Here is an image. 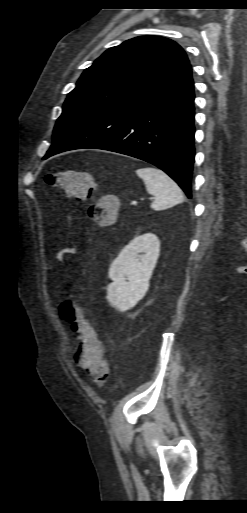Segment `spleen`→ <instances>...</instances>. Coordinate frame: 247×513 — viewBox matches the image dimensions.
Listing matches in <instances>:
<instances>
[{
  "instance_id": "1",
  "label": "spleen",
  "mask_w": 247,
  "mask_h": 513,
  "mask_svg": "<svg viewBox=\"0 0 247 513\" xmlns=\"http://www.w3.org/2000/svg\"><path fill=\"white\" fill-rule=\"evenodd\" d=\"M136 174L144 181L147 192L155 197L151 204L153 210H164L184 201L179 186L162 170L143 167Z\"/></svg>"
}]
</instances>
